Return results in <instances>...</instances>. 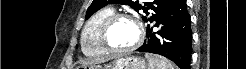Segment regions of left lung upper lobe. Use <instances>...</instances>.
Instances as JSON below:
<instances>
[{
	"label": "left lung upper lobe",
	"mask_w": 246,
	"mask_h": 69,
	"mask_svg": "<svg viewBox=\"0 0 246 69\" xmlns=\"http://www.w3.org/2000/svg\"><path fill=\"white\" fill-rule=\"evenodd\" d=\"M173 2V0H150L149 2H145L143 5L137 1L133 0H93L92 4L87 10L86 18H89L93 13L101 9L102 7L111 4V3H119L123 5H129L134 10L139 12L143 10L147 15L148 10H152L154 13L150 17L143 16V21L146 22H154ZM150 26V25H148Z\"/></svg>",
	"instance_id": "obj_1"
}]
</instances>
